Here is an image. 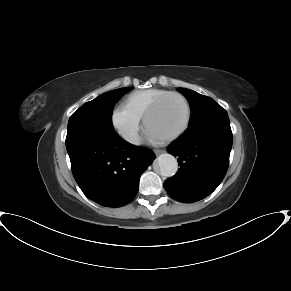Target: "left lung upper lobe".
<instances>
[{
  "label": "left lung upper lobe",
  "mask_w": 291,
  "mask_h": 291,
  "mask_svg": "<svg viewBox=\"0 0 291 291\" xmlns=\"http://www.w3.org/2000/svg\"><path fill=\"white\" fill-rule=\"evenodd\" d=\"M177 90L186 96L191 105L192 115L188 131L197 130L215 119L228 116L226 110L212 98L186 88Z\"/></svg>",
  "instance_id": "1"
}]
</instances>
